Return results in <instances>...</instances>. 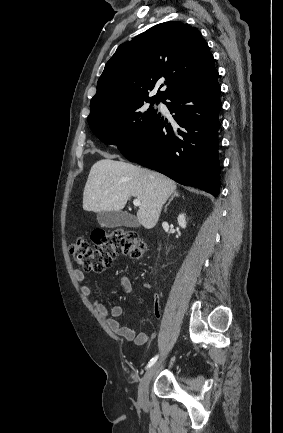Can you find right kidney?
I'll return each instance as SVG.
<instances>
[{
  "mask_svg": "<svg viewBox=\"0 0 283 433\" xmlns=\"http://www.w3.org/2000/svg\"><path fill=\"white\" fill-rule=\"evenodd\" d=\"M177 220H178V224H179L182 228H185V227H186V219H185L184 214H180V215L178 216Z\"/></svg>",
  "mask_w": 283,
  "mask_h": 433,
  "instance_id": "right-kidney-1",
  "label": "right kidney"
}]
</instances>
